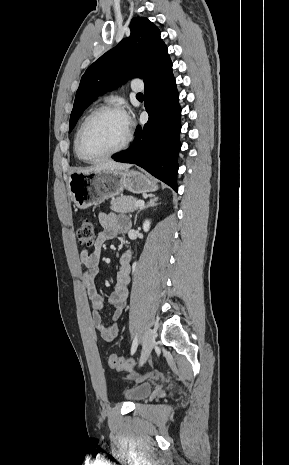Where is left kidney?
Wrapping results in <instances>:
<instances>
[{
    "instance_id": "left-kidney-1",
    "label": "left kidney",
    "mask_w": 289,
    "mask_h": 465,
    "mask_svg": "<svg viewBox=\"0 0 289 465\" xmlns=\"http://www.w3.org/2000/svg\"><path fill=\"white\" fill-rule=\"evenodd\" d=\"M149 228H150V221L149 220H145V222L143 223V230L145 232H148L149 231Z\"/></svg>"
}]
</instances>
